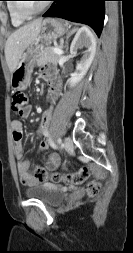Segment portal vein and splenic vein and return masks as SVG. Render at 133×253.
<instances>
[{
  "label": "portal vein and splenic vein",
  "mask_w": 133,
  "mask_h": 253,
  "mask_svg": "<svg viewBox=\"0 0 133 253\" xmlns=\"http://www.w3.org/2000/svg\"><path fill=\"white\" fill-rule=\"evenodd\" d=\"M53 50H54V52H55L56 54H59V55H62V54H63V50L60 49V48H54Z\"/></svg>",
  "instance_id": "portal-vein-and-splenic-vein-1"
}]
</instances>
